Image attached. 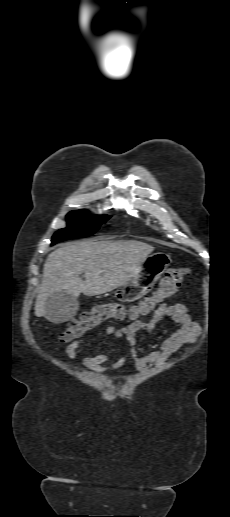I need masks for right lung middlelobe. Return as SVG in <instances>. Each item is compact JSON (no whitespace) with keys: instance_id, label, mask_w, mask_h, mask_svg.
<instances>
[{"instance_id":"1","label":"right lung middle lobe","mask_w":230,"mask_h":517,"mask_svg":"<svg viewBox=\"0 0 230 517\" xmlns=\"http://www.w3.org/2000/svg\"><path fill=\"white\" fill-rule=\"evenodd\" d=\"M110 216H90L86 211H71L67 215V227L57 231L52 237V245L69 238L92 235Z\"/></svg>"}]
</instances>
